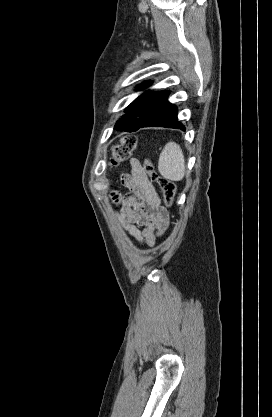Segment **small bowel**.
<instances>
[{
	"label": "small bowel",
	"instance_id": "1",
	"mask_svg": "<svg viewBox=\"0 0 272 417\" xmlns=\"http://www.w3.org/2000/svg\"><path fill=\"white\" fill-rule=\"evenodd\" d=\"M131 172L122 177L128 193L115 195L121 205L118 214L127 234L141 245L153 246L169 225V213L161 205V198L147 179L139 161L130 159Z\"/></svg>",
	"mask_w": 272,
	"mask_h": 417
}]
</instances>
